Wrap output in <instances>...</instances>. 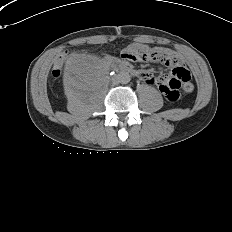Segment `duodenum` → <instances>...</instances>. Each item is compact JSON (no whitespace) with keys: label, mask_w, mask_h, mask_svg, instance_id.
Here are the masks:
<instances>
[{"label":"duodenum","mask_w":232,"mask_h":232,"mask_svg":"<svg viewBox=\"0 0 232 232\" xmlns=\"http://www.w3.org/2000/svg\"><path fill=\"white\" fill-rule=\"evenodd\" d=\"M112 65L115 68L116 72L128 73V74H131L133 76L137 75V71L135 69L129 67L127 64L113 61Z\"/></svg>","instance_id":"obj_1"}]
</instances>
